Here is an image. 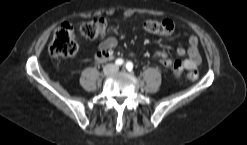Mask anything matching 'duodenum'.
I'll return each instance as SVG.
<instances>
[{"instance_id":"1","label":"duodenum","mask_w":247,"mask_h":145,"mask_svg":"<svg viewBox=\"0 0 247 145\" xmlns=\"http://www.w3.org/2000/svg\"><path fill=\"white\" fill-rule=\"evenodd\" d=\"M98 60L100 61H108L111 60L113 58V55L107 52H103V53H99L97 55Z\"/></svg>"}]
</instances>
